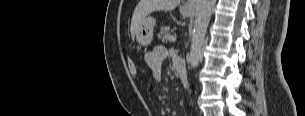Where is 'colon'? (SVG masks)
<instances>
[{"mask_svg": "<svg viewBox=\"0 0 305 116\" xmlns=\"http://www.w3.org/2000/svg\"><path fill=\"white\" fill-rule=\"evenodd\" d=\"M128 68H129V71L131 72L132 75H137L138 74L137 66L132 60L128 61Z\"/></svg>", "mask_w": 305, "mask_h": 116, "instance_id": "obj_1", "label": "colon"}]
</instances>
